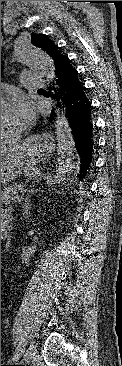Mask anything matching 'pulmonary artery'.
<instances>
[{
  "mask_svg": "<svg viewBox=\"0 0 122 366\" xmlns=\"http://www.w3.org/2000/svg\"><path fill=\"white\" fill-rule=\"evenodd\" d=\"M20 78L28 88L38 89L46 86L45 80L41 75L31 70L21 72Z\"/></svg>",
  "mask_w": 122,
  "mask_h": 366,
  "instance_id": "pulmonary-artery-1",
  "label": "pulmonary artery"
}]
</instances>
